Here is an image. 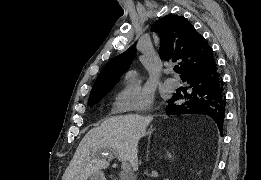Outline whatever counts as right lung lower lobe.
Here are the masks:
<instances>
[{
    "mask_svg": "<svg viewBox=\"0 0 261 180\" xmlns=\"http://www.w3.org/2000/svg\"><path fill=\"white\" fill-rule=\"evenodd\" d=\"M183 81L189 83L191 93H177L171 98L167 107L168 115L205 114L217 124L222 135L225 118L226 97L223 80L215 61L187 72ZM175 101H179L176 105Z\"/></svg>",
    "mask_w": 261,
    "mask_h": 180,
    "instance_id": "obj_1",
    "label": "right lung lower lobe"
}]
</instances>
